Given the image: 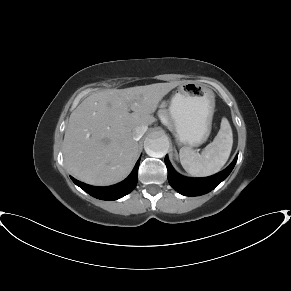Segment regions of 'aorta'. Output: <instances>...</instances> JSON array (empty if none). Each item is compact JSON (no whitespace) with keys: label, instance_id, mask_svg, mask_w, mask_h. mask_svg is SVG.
<instances>
[{"label":"aorta","instance_id":"obj_1","mask_svg":"<svg viewBox=\"0 0 291 291\" xmlns=\"http://www.w3.org/2000/svg\"><path fill=\"white\" fill-rule=\"evenodd\" d=\"M144 148L146 153L150 156H164L169 149L168 138L165 136L152 135L145 140Z\"/></svg>","mask_w":291,"mask_h":291}]
</instances>
